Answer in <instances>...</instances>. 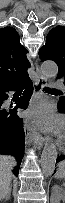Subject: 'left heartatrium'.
Returning a JSON list of instances; mask_svg holds the SVG:
<instances>
[{"mask_svg": "<svg viewBox=\"0 0 65 203\" xmlns=\"http://www.w3.org/2000/svg\"><path fill=\"white\" fill-rule=\"evenodd\" d=\"M27 118L35 128L44 131H51L59 134L63 128L62 118L53 114L50 108L45 104L34 106L27 113Z\"/></svg>", "mask_w": 65, "mask_h": 203, "instance_id": "obj_1", "label": "left heart atrium"}]
</instances>
